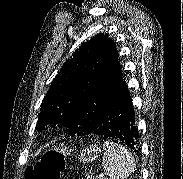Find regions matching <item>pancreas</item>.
Wrapping results in <instances>:
<instances>
[{
	"label": "pancreas",
	"instance_id": "1",
	"mask_svg": "<svg viewBox=\"0 0 183 179\" xmlns=\"http://www.w3.org/2000/svg\"><path fill=\"white\" fill-rule=\"evenodd\" d=\"M84 179H107L105 176H92V175H86Z\"/></svg>",
	"mask_w": 183,
	"mask_h": 179
}]
</instances>
